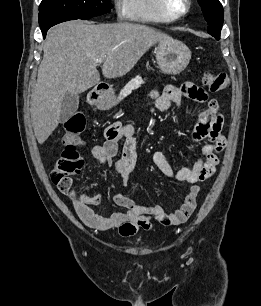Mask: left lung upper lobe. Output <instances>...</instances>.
Returning a JSON list of instances; mask_svg holds the SVG:
<instances>
[{
  "instance_id": "1",
  "label": "left lung upper lobe",
  "mask_w": 261,
  "mask_h": 306,
  "mask_svg": "<svg viewBox=\"0 0 261 306\" xmlns=\"http://www.w3.org/2000/svg\"><path fill=\"white\" fill-rule=\"evenodd\" d=\"M200 4L205 20L207 21L208 33L213 37H220L223 25L224 13L219 0H197Z\"/></svg>"
}]
</instances>
